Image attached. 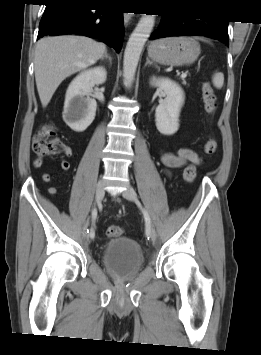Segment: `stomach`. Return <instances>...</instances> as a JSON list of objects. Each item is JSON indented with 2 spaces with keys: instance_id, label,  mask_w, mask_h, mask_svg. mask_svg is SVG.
I'll use <instances>...</instances> for the list:
<instances>
[{
  "instance_id": "stomach-1",
  "label": "stomach",
  "mask_w": 261,
  "mask_h": 355,
  "mask_svg": "<svg viewBox=\"0 0 261 355\" xmlns=\"http://www.w3.org/2000/svg\"><path fill=\"white\" fill-rule=\"evenodd\" d=\"M200 54L197 41L187 37H170L153 41L148 47V56L156 63L166 66H181L194 62Z\"/></svg>"
}]
</instances>
